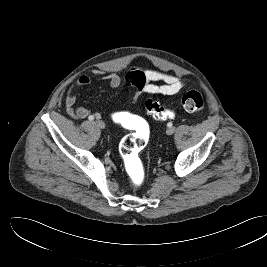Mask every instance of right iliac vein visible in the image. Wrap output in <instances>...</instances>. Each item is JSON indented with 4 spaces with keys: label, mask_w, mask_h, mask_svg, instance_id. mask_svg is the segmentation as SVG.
I'll return each mask as SVG.
<instances>
[{
    "label": "right iliac vein",
    "mask_w": 267,
    "mask_h": 267,
    "mask_svg": "<svg viewBox=\"0 0 267 267\" xmlns=\"http://www.w3.org/2000/svg\"><path fill=\"white\" fill-rule=\"evenodd\" d=\"M96 125L97 127H99L100 129H104L105 128V123L102 120H97L96 121Z\"/></svg>",
    "instance_id": "1"
}]
</instances>
